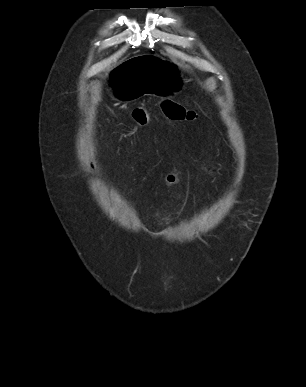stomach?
Returning a JSON list of instances; mask_svg holds the SVG:
<instances>
[{
    "instance_id": "0dacf381",
    "label": "stomach",
    "mask_w": 306,
    "mask_h": 387,
    "mask_svg": "<svg viewBox=\"0 0 306 387\" xmlns=\"http://www.w3.org/2000/svg\"><path fill=\"white\" fill-rule=\"evenodd\" d=\"M154 46H141V55L116 70H106L113 96L120 101H131L138 95H177L183 77L177 65L153 55Z\"/></svg>"
}]
</instances>
